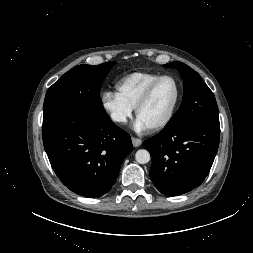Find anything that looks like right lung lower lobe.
Here are the masks:
<instances>
[{
    "label": "right lung lower lobe",
    "mask_w": 253,
    "mask_h": 253,
    "mask_svg": "<svg viewBox=\"0 0 253 253\" xmlns=\"http://www.w3.org/2000/svg\"><path fill=\"white\" fill-rule=\"evenodd\" d=\"M43 144L61 182L74 193L101 197L115 183L130 136L105 113L60 115L42 125Z\"/></svg>",
    "instance_id": "98d812e1"
}]
</instances>
